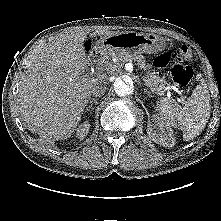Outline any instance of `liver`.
<instances>
[{"label": "liver", "instance_id": "1", "mask_svg": "<svg viewBox=\"0 0 221 221\" xmlns=\"http://www.w3.org/2000/svg\"><path fill=\"white\" fill-rule=\"evenodd\" d=\"M118 32H94L90 36ZM83 30L60 34L43 48L22 78L20 112L28 126L43 138L67 139L76 130L92 88L108 75L85 74L87 68Z\"/></svg>", "mask_w": 221, "mask_h": 221}]
</instances>
